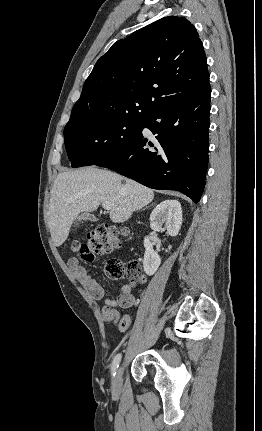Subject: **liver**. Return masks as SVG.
Wrapping results in <instances>:
<instances>
[{"mask_svg": "<svg viewBox=\"0 0 262 431\" xmlns=\"http://www.w3.org/2000/svg\"><path fill=\"white\" fill-rule=\"evenodd\" d=\"M153 198V190L109 170L86 167L61 172L54 181L48 209L54 245L61 246L66 241L81 212L94 211L107 201L111 204L110 219L122 223Z\"/></svg>", "mask_w": 262, "mask_h": 431, "instance_id": "obj_1", "label": "liver"}]
</instances>
